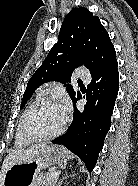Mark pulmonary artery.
<instances>
[{"label": "pulmonary artery", "instance_id": "1", "mask_svg": "<svg viewBox=\"0 0 138 186\" xmlns=\"http://www.w3.org/2000/svg\"><path fill=\"white\" fill-rule=\"evenodd\" d=\"M76 75H77V77H79L80 79H82L86 82H88L90 80L89 71L83 67L77 68Z\"/></svg>", "mask_w": 138, "mask_h": 186}]
</instances>
